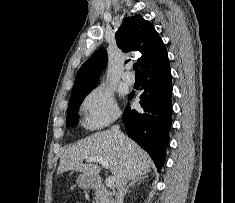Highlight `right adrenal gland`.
Listing matches in <instances>:
<instances>
[{"instance_id": "right-adrenal-gland-1", "label": "right adrenal gland", "mask_w": 235, "mask_h": 203, "mask_svg": "<svg viewBox=\"0 0 235 203\" xmlns=\"http://www.w3.org/2000/svg\"><path fill=\"white\" fill-rule=\"evenodd\" d=\"M145 178H147V176L144 175L133 178L132 181L127 186V188L125 189L124 194L126 195L130 187H133L136 183L140 184Z\"/></svg>"}]
</instances>
